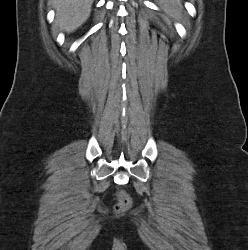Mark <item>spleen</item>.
Listing matches in <instances>:
<instances>
[{
	"label": "spleen",
	"instance_id": "spleen-1",
	"mask_svg": "<svg viewBox=\"0 0 248 250\" xmlns=\"http://www.w3.org/2000/svg\"><path fill=\"white\" fill-rule=\"evenodd\" d=\"M160 3H162L163 10L169 17L179 19L183 16L180 0H160ZM166 20L170 23L168 18Z\"/></svg>",
	"mask_w": 248,
	"mask_h": 250
}]
</instances>
